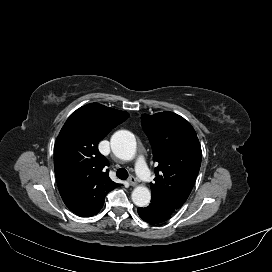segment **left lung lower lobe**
<instances>
[{
  "mask_svg": "<svg viewBox=\"0 0 272 272\" xmlns=\"http://www.w3.org/2000/svg\"><path fill=\"white\" fill-rule=\"evenodd\" d=\"M138 214L144 221L150 224L164 222L171 216V214L151 204L145 208H138Z\"/></svg>",
  "mask_w": 272,
  "mask_h": 272,
  "instance_id": "left-lung-lower-lobe-1",
  "label": "left lung lower lobe"
}]
</instances>
